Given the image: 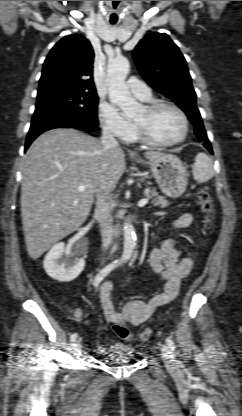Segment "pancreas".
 <instances>
[{"instance_id": "pancreas-1", "label": "pancreas", "mask_w": 242, "mask_h": 416, "mask_svg": "<svg viewBox=\"0 0 242 416\" xmlns=\"http://www.w3.org/2000/svg\"><path fill=\"white\" fill-rule=\"evenodd\" d=\"M144 195L147 199L152 200V204L154 206L166 208L170 205V202L165 197L158 195V193L155 190L148 191Z\"/></svg>"}]
</instances>
